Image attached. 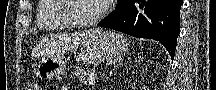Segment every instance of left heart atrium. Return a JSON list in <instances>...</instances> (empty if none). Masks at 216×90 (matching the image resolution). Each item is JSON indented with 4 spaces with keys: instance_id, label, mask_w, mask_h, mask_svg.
Returning <instances> with one entry per match:
<instances>
[{
    "instance_id": "obj_1",
    "label": "left heart atrium",
    "mask_w": 216,
    "mask_h": 90,
    "mask_svg": "<svg viewBox=\"0 0 216 90\" xmlns=\"http://www.w3.org/2000/svg\"><path fill=\"white\" fill-rule=\"evenodd\" d=\"M101 3H112L113 0H100Z\"/></svg>"
}]
</instances>
